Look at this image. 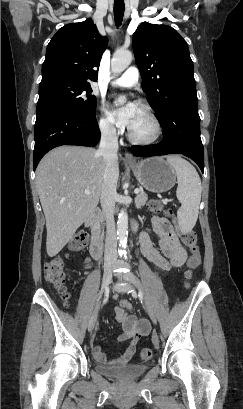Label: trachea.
Listing matches in <instances>:
<instances>
[{
  "instance_id": "1",
  "label": "trachea",
  "mask_w": 243,
  "mask_h": 409,
  "mask_svg": "<svg viewBox=\"0 0 243 409\" xmlns=\"http://www.w3.org/2000/svg\"><path fill=\"white\" fill-rule=\"evenodd\" d=\"M124 10H125V6H124L123 1L114 2V18H115V24L117 26H120L122 23Z\"/></svg>"
}]
</instances>
